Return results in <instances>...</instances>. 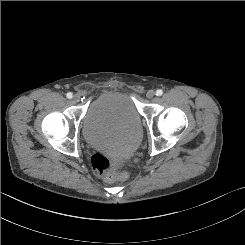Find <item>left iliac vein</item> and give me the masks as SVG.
<instances>
[{"label":"left iliac vein","instance_id":"obj_1","mask_svg":"<svg viewBox=\"0 0 245 245\" xmlns=\"http://www.w3.org/2000/svg\"><path fill=\"white\" fill-rule=\"evenodd\" d=\"M146 96L148 99H152L155 96V92L153 90H149Z\"/></svg>","mask_w":245,"mask_h":245}]
</instances>
